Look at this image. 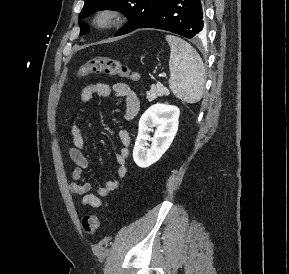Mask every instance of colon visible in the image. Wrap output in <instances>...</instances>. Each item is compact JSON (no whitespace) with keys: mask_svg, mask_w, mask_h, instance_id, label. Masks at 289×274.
Here are the masks:
<instances>
[{"mask_svg":"<svg viewBox=\"0 0 289 274\" xmlns=\"http://www.w3.org/2000/svg\"><path fill=\"white\" fill-rule=\"evenodd\" d=\"M105 73L111 76L138 80V73L132 71L127 65L108 56H96L89 59L78 69V77L83 78L90 74ZM82 228L88 235H93L99 227V219L95 214H87L82 218Z\"/></svg>","mask_w":289,"mask_h":274,"instance_id":"1","label":"colon"}]
</instances>
